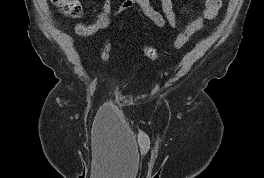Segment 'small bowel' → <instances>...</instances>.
<instances>
[{
    "instance_id": "small-bowel-1",
    "label": "small bowel",
    "mask_w": 264,
    "mask_h": 178,
    "mask_svg": "<svg viewBox=\"0 0 264 178\" xmlns=\"http://www.w3.org/2000/svg\"><path fill=\"white\" fill-rule=\"evenodd\" d=\"M160 5L161 11H158L151 5L150 0H122L115 9H112L111 1L104 0L102 9L94 22L90 25L79 22L75 26V31L80 36H91L107 28L111 23L112 16L120 15L133 6L138 7L157 27H170L175 29L178 22L172 0H160ZM221 6V0H205L204 10L187 25L186 30L192 34L199 31L205 21L212 20L216 17Z\"/></svg>"
}]
</instances>
